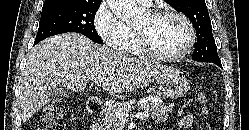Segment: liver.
I'll return each mask as SVG.
<instances>
[{
    "instance_id": "1",
    "label": "liver",
    "mask_w": 249,
    "mask_h": 130,
    "mask_svg": "<svg viewBox=\"0 0 249 130\" xmlns=\"http://www.w3.org/2000/svg\"><path fill=\"white\" fill-rule=\"evenodd\" d=\"M171 67L128 57L77 33L47 38L28 54L19 96L20 115L27 122L50 102L49 90L62 86L74 92L99 79L111 94L147 86Z\"/></svg>"
}]
</instances>
